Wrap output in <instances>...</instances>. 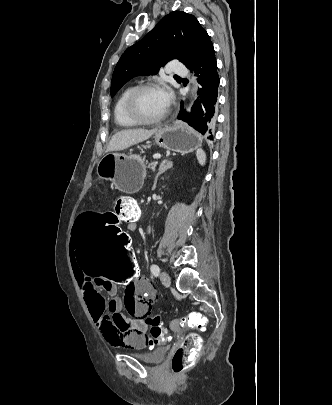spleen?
<instances>
[{
    "label": "spleen",
    "mask_w": 332,
    "mask_h": 405,
    "mask_svg": "<svg viewBox=\"0 0 332 405\" xmlns=\"http://www.w3.org/2000/svg\"><path fill=\"white\" fill-rule=\"evenodd\" d=\"M196 156L199 164L204 165L206 162V154L201 148L197 150Z\"/></svg>",
    "instance_id": "1"
}]
</instances>
